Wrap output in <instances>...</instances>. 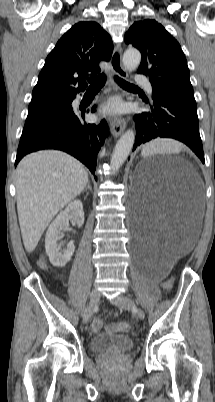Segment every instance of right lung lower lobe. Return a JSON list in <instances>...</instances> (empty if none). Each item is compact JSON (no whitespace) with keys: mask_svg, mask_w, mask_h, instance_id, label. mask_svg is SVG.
Returning a JSON list of instances; mask_svg holds the SVG:
<instances>
[{"mask_svg":"<svg viewBox=\"0 0 215 402\" xmlns=\"http://www.w3.org/2000/svg\"><path fill=\"white\" fill-rule=\"evenodd\" d=\"M70 108L65 115L21 136L15 166L28 153L58 149L71 154L95 173L97 153L108 135L107 123L103 120L98 125L88 124L83 121L84 113L78 115Z\"/></svg>","mask_w":215,"mask_h":402,"instance_id":"98d812e1","label":"right lung lower lobe"}]
</instances>
